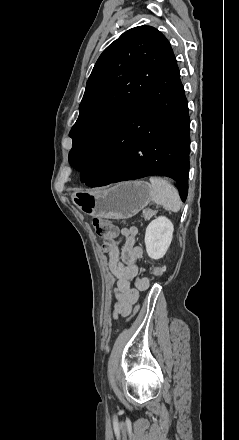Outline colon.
Here are the masks:
<instances>
[{
	"mask_svg": "<svg viewBox=\"0 0 239 440\" xmlns=\"http://www.w3.org/2000/svg\"><path fill=\"white\" fill-rule=\"evenodd\" d=\"M93 225L96 233L103 239L106 248H110L113 244L116 228L113 223L106 218H94ZM164 273L163 267H156L153 270V276H160Z\"/></svg>",
	"mask_w": 239,
	"mask_h": 440,
	"instance_id": "colon-1",
	"label": "colon"
}]
</instances>
